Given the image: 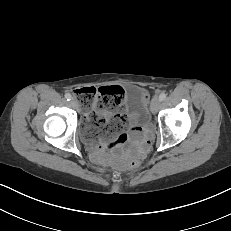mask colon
Masks as SVG:
<instances>
[{"instance_id":"colon-1","label":"colon","mask_w":231,"mask_h":231,"mask_svg":"<svg viewBox=\"0 0 231 231\" xmlns=\"http://www.w3.org/2000/svg\"><path fill=\"white\" fill-rule=\"evenodd\" d=\"M83 109L89 110L93 107L96 110L89 114L90 122L97 128L103 130L108 135L115 136L119 141L126 139L127 118L121 109L124 100V90L120 86H107L99 90L78 89L75 90ZM97 110L107 111L100 114ZM127 167L135 169L139 166L136 160L125 163Z\"/></svg>"}]
</instances>
